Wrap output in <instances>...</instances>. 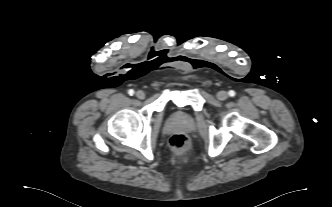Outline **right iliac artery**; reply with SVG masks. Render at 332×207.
I'll use <instances>...</instances> for the list:
<instances>
[{"label": "right iliac artery", "instance_id": "1", "mask_svg": "<svg viewBox=\"0 0 332 207\" xmlns=\"http://www.w3.org/2000/svg\"><path fill=\"white\" fill-rule=\"evenodd\" d=\"M128 94L132 96V95L134 94V90H133V89H130V90L128 91Z\"/></svg>", "mask_w": 332, "mask_h": 207}]
</instances>
